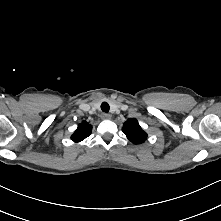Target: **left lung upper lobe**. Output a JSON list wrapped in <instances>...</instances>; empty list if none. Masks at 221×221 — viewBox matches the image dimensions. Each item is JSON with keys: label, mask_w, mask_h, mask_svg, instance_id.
<instances>
[{"label": "left lung upper lobe", "mask_w": 221, "mask_h": 221, "mask_svg": "<svg viewBox=\"0 0 221 221\" xmlns=\"http://www.w3.org/2000/svg\"><path fill=\"white\" fill-rule=\"evenodd\" d=\"M122 131L134 144L143 143L147 138V134L141 129L136 119H128L123 124Z\"/></svg>", "instance_id": "1"}]
</instances>
